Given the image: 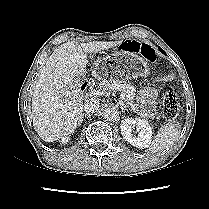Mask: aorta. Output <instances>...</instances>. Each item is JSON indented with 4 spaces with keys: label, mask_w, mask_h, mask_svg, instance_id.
I'll return each mask as SVG.
<instances>
[{
    "label": "aorta",
    "mask_w": 209,
    "mask_h": 209,
    "mask_svg": "<svg viewBox=\"0 0 209 209\" xmlns=\"http://www.w3.org/2000/svg\"><path fill=\"white\" fill-rule=\"evenodd\" d=\"M119 117V112L115 107H108L103 112V118L106 121H115Z\"/></svg>",
    "instance_id": "aorta-1"
}]
</instances>
